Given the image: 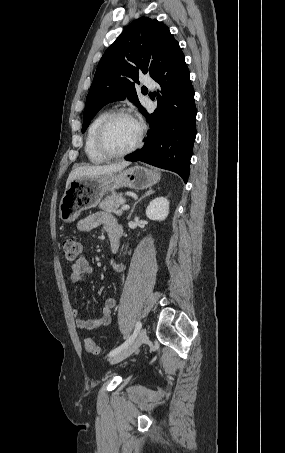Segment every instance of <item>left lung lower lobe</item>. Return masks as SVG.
Wrapping results in <instances>:
<instances>
[{"instance_id":"left-lung-lower-lobe-1","label":"left lung lower lobe","mask_w":285,"mask_h":453,"mask_svg":"<svg viewBox=\"0 0 285 453\" xmlns=\"http://www.w3.org/2000/svg\"><path fill=\"white\" fill-rule=\"evenodd\" d=\"M153 79L159 84L161 94H157L154 113L142 111L150 124L146 142L140 150L124 158L173 171L186 183L196 137V107L190 73L179 44Z\"/></svg>"}]
</instances>
